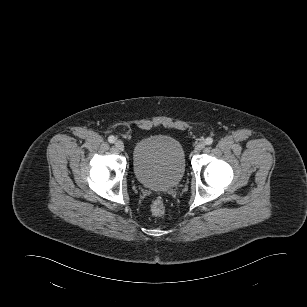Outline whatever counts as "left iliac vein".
<instances>
[{
  "instance_id": "4c4485c4",
  "label": "left iliac vein",
  "mask_w": 307,
  "mask_h": 307,
  "mask_svg": "<svg viewBox=\"0 0 307 307\" xmlns=\"http://www.w3.org/2000/svg\"><path fill=\"white\" fill-rule=\"evenodd\" d=\"M205 143L204 142H199L195 146V152H200L202 149H204Z\"/></svg>"
}]
</instances>
